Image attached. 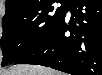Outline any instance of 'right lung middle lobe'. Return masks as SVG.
Wrapping results in <instances>:
<instances>
[{
  "instance_id": "dd1d6c3e",
  "label": "right lung middle lobe",
  "mask_w": 102,
  "mask_h": 75,
  "mask_svg": "<svg viewBox=\"0 0 102 75\" xmlns=\"http://www.w3.org/2000/svg\"><path fill=\"white\" fill-rule=\"evenodd\" d=\"M57 2H61L58 8H54L55 1H52L35 8L5 14L0 42L2 66L15 63L29 54L64 19L68 1Z\"/></svg>"
}]
</instances>
